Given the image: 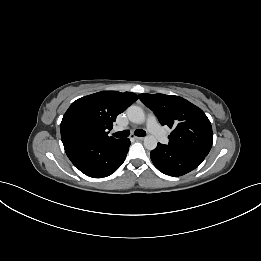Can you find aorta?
<instances>
[{"mask_svg": "<svg viewBox=\"0 0 261 261\" xmlns=\"http://www.w3.org/2000/svg\"><path fill=\"white\" fill-rule=\"evenodd\" d=\"M129 120L136 124H142L145 121V114L141 107L131 105L127 109ZM144 146L148 150H154L157 147V139L153 135H147L144 138Z\"/></svg>", "mask_w": 261, "mask_h": 261, "instance_id": "762f6f07", "label": "aorta"}]
</instances>
